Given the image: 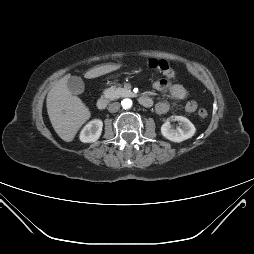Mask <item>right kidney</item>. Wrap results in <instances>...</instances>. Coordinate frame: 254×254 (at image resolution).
Instances as JSON below:
<instances>
[{"mask_svg":"<svg viewBox=\"0 0 254 254\" xmlns=\"http://www.w3.org/2000/svg\"><path fill=\"white\" fill-rule=\"evenodd\" d=\"M103 122L100 119L90 121L80 133V141L92 143L99 139L102 132Z\"/></svg>","mask_w":254,"mask_h":254,"instance_id":"right-kidney-1","label":"right kidney"}]
</instances>
